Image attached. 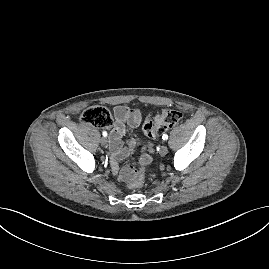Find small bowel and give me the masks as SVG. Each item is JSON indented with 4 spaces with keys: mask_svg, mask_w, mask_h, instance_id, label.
<instances>
[{
    "mask_svg": "<svg viewBox=\"0 0 269 269\" xmlns=\"http://www.w3.org/2000/svg\"><path fill=\"white\" fill-rule=\"evenodd\" d=\"M115 122L110 131V151H111V168L118 179L124 182H129L135 174L132 167L127 166L120 168L119 162L125 159L136 147L137 141L130 137L126 141V146L123 145L122 137L125 134L126 127L137 128L142 121V113L138 108H131L124 105H119L114 108ZM148 152L141 155L139 165L147 166L151 162V153L153 152L152 144L148 143Z\"/></svg>",
    "mask_w": 269,
    "mask_h": 269,
    "instance_id": "c3829d8e",
    "label": "small bowel"
}]
</instances>
